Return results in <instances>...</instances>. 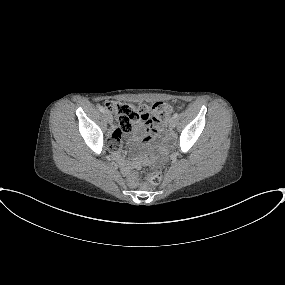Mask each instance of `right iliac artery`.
<instances>
[{
    "instance_id": "right-iliac-artery-1",
    "label": "right iliac artery",
    "mask_w": 285,
    "mask_h": 285,
    "mask_svg": "<svg viewBox=\"0 0 285 285\" xmlns=\"http://www.w3.org/2000/svg\"><path fill=\"white\" fill-rule=\"evenodd\" d=\"M99 110L102 112V113H106V109L104 107H99Z\"/></svg>"
}]
</instances>
